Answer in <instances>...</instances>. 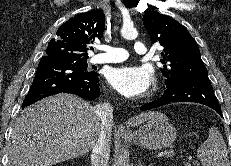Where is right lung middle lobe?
I'll list each match as a JSON object with an SVG mask.
<instances>
[{
    "label": "right lung middle lobe",
    "instance_id": "right-lung-middle-lobe-1",
    "mask_svg": "<svg viewBox=\"0 0 231 166\" xmlns=\"http://www.w3.org/2000/svg\"><path fill=\"white\" fill-rule=\"evenodd\" d=\"M65 61L73 64L75 67H77L83 71L87 70V60L86 59H79V60L66 59Z\"/></svg>",
    "mask_w": 231,
    "mask_h": 166
}]
</instances>
